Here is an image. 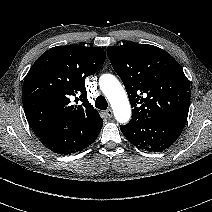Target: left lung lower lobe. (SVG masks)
I'll use <instances>...</instances> for the list:
<instances>
[{"instance_id":"left-lung-lower-lobe-1","label":"left lung lower lobe","mask_w":212,"mask_h":212,"mask_svg":"<svg viewBox=\"0 0 212 212\" xmlns=\"http://www.w3.org/2000/svg\"><path fill=\"white\" fill-rule=\"evenodd\" d=\"M185 121L165 118H140L120 126L127 140L139 149L159 152L170 147L181 134Z\"/></svg>"}]
</instances>
